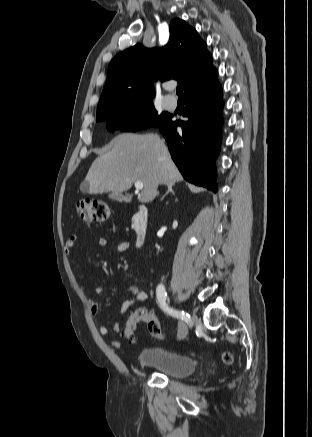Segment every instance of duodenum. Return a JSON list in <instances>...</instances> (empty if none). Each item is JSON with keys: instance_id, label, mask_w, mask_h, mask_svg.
<instances>
[{"instance_id": "duodenum-1", "label": "duodenum", "mask_w": 312, "mask_h": 437, "mask_svg": "<svg viewBox=\"0 0 312 437\" xmlns=\"http://www.w3.org/2000/svg\"><path fill=\"white\" fill-rule=\"evenodd\" d=\"M148 216V208L145 205H140L133 220L135 246L137 248H142L146 243Z\"/></svg>"}]
</instances>
